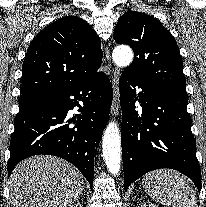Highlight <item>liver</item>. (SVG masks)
Wrapping results in <instances>:
<instances>
[{"instance_id":"1","label":"liver","mask_w":206,"mask_h":207,"mask_svg":"<svg viewBox=\"0 0 206 207\" xmlns=\"http://www.w3.org/2000/svg\"><path fill=\"white\" fill-rule=\"evenodd\" d=\"M83 176L55 156H33L13 170L9 186L13 207H68L83 192Z\"/></svg>"}]
</instances>
